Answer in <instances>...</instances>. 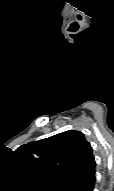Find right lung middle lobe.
<instances>
[{
	"instance_id": "right-lung-middle-lobe-1",
	"label": "right lung middle lobe",
	"mask_w": 114,
	"mask_h": 191,
	"mask_svg": "<svg viewBox=\"0 0 114 191\" xmlns=\"http://www.w3.org/2000/svg\"><path fill=\"white\" fill-rule=\"evenodd\" d=\"M46 190H49V191H57V188H47Z\"/></svg>"
}]
</instances>
